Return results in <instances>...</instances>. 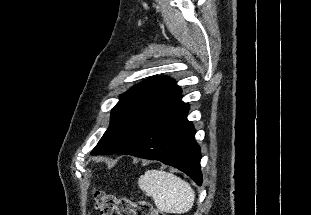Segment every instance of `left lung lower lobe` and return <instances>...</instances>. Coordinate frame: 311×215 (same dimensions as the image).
Listing matches in <instances>:
<instances>
[{"instance_id": "0a47b994", "label": "left lung lower lobe", "mask_w": 311, "mask_h": 215, "mask_svg": "<svg viewBox=\"0 0 311 215\" xmlns=\"http://www.w3.org/2000/svg\"><path fill=\"white\" fill-rule=\"evenodd\" d=\"M181 94L155 114L133 141L118 153L153 159L173 166L202 184L200 147L187 120L189 106Z\"/></svg>"}]
</instances>
